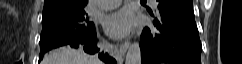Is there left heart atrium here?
Returning <instances> with one entry per match:
<instances>
[{"mask_svg":"<svg viewBox=\"0 0 242 64\" xmlns=\"http://www.w3.org/2000/svg\"><path fill=\"white\" fill-rule=\"evenodd\" d=\"M132 14L128 9H120L110 14L104 23L106 33L114 38L126 36L132 28Z\"/></svg>","mask_w":242,"mask_h":64,"instance_id":"left-heart-atrium-1","label":"left heart atrium"}]
</instances>
